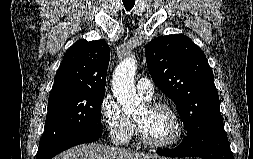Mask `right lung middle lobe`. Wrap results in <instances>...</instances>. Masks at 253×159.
I'll use <instances>...</instances> for the list:
<instances>
[{"label":"right lung middle lobe","instance_id":"right-lung-middle-lobe-1","mask_svg":"<svg viewBox=\"0 0 253 159\" xmlns=\"http://www.w3.org/2000/svg\"><path fill=\"white\" fill-rule=\"evenodd\" d=\"M104 95L105 91H99L49 98L46 127L38 151L74 132L101 130Z\"/></svg>","mask_w":253,"mask_h":159}]
</instances>
